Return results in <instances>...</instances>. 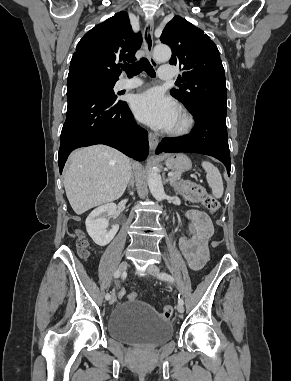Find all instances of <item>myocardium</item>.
Here are the masks:
<instances>
[{
  "mask_svg": "<svg viewBox=\"0 0 291 381\" xmlns=\"http://www.w3.org/2000/svg\"><path fill=\"white\" fill-rule=\"evenodd\" d=\"M179 122L176 126L169 129L168 133L172 136H184L194 127V117L186 109L181 108L178 113Z\"/></svg>",
  "mask_w": 291,
  "mask_h": 381,
  "instance_id": "f54148a6",
  "label": "myocardium"
}]
</instances>
